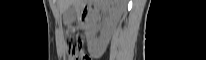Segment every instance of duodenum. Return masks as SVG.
Returning <instances> with one entry per match:
<instances>
[{
	"label": "duodenum",
	"mask_w": 206,
	"mask_h": 60,
	"mask_svg": "<svg viewBox=\"0 0 206 60\" xmlns=\"http://www.w3.org/2000/svg\"><path fill=\"white\" fill-rule=\"evenodd\" d=\"M91 6L88 3H83L80 6V20L82 23L87 21V18L90 14Z\"/></svg>",
	"instance_id": "410a0bca"
}]
</instances>
